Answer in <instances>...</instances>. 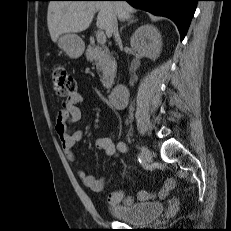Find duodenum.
Segmentation results:
<instances>
[{"instance_id":"410a0bca","label":"duodenum","mask_w":231,"mask_h":231,"mask_svg":"<svg viewBox=\"0 0 231 231\" xmlns=\"http://www.w3.org/2000/svg\"><path fill=\"white\" fill-rule=\"evenodd\" d=\"M128 96V87L125 84H118L110 92L109 101L115 109L124 107Z\"/></svg>"}]
</instances>
